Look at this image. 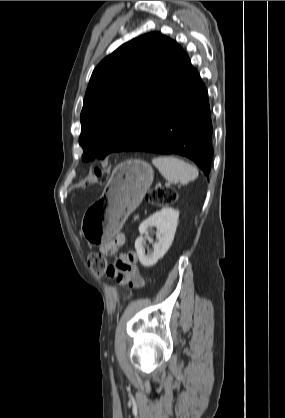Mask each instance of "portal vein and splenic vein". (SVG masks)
<instances>
[{
  "label": "portal vein and splenic vein",
  "instance_id": "portal-vein-and-splenic-vein-1",
  "mask_svg": "<svg viewBox=\"0 0 285 418\" xmlns=\"http://www.w3.org/2000/svg\"><path fill=\"white\" fill-rule=\"evenodd\" d=\"M169 185H170V183H169V182H167V183H166V186H169Z\"/></svg>",
  "mask_w": 285,
  "mask_h": 418
}]
</instances>
